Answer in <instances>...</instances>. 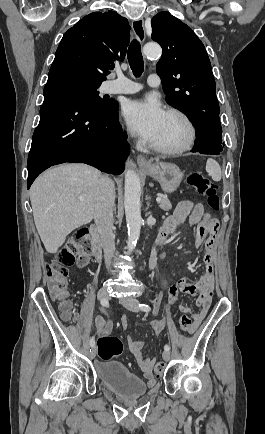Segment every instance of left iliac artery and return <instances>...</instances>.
Instances as JSON below:
<instances>
[{"label": "left iliac artery", "mask_w": 265, "mask_h": 434, "mask_svg": "<svg viewBox=\"0 0 265 434\" xmlns=\"http://www.w3.org/2000/svg\"><path fill=\"white\" fill-rule=\"evenodd\" d=\"M139 308H140L142 311H146V312L151 310V308H150L147 304H139ZM164 350L169 351V350H170V346H169L168 344H166V345L164 346Z\"/></svg>", "instance_id": "1"}]
</instances>
